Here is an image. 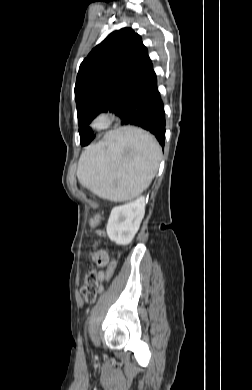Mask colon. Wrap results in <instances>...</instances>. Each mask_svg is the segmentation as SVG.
<instances>
[{
  "label": "colon",
  "mask_w": 252,
  "mask_h": 390,
  "mask_svg": "<svg viewBox=\"0 0 252 390\" xmlns=\"http://www.w3.org/2000/svg\"><path fill=\"white\" fill-rule=\"evenodd\" d=\"M93 222L95 225H99L101 222V216L99 214L95 215L93 217ZM98 234H102V231L100 229L97 230ZM114 263L111 265L110 270H112ZM82 296L84 300L88 303L93 302L96 299L97 293H98V280L96 277V273L94 270H91L86 279L85 283L81 289Z\"/></svg>",
  "instance_id": "1"
}]
</instances>
